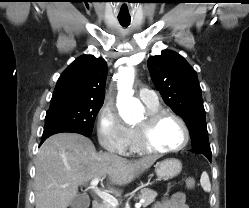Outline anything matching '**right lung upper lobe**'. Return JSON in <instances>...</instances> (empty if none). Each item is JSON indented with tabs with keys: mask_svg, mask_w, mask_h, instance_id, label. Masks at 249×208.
Segmentation results:
<instances>
[{
	"mask_svg": "<svg viewBox=\"0 0 249 208\" xmlns=\"http://www.w3.org/2000/svg\"><path fill=\"white\" fill-rule=\"evenodd\" d=\"M106 75L103 58L93 55L78 57L59 77L50 107L68 102H103Z\"/></svg>",
	"mask_w": 249,
	"mask_h": 208,
	"instance_id": "right-lung-upper-lobe-1",
	"label": "right lung upper lobe"
}]
</instances>
